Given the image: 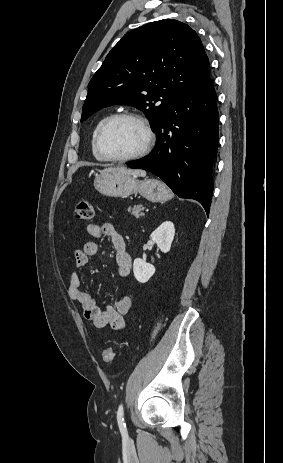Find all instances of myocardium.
I'll use <instances>...</instances> for the list:
<instances>
[{
	"mask_svg": "<svg viewBox=\"0 0 283 463\" xmlns=\"http://www.w3.org/2000/svg\"><path fill=\"white\" fill-rule=\"evenodd\" d=\"M122 119H131L135 120L138 122L144 133H145V143L143 147L136 153L125 156V157H113L105 154L103 151L102 145H101V139L104 131L114 122ZM155 143V134L153 132V129L150 125V122L146 117L141 115L140 113L133 112V111H126V112H120L113 114L109 116L98 128L96 135H95V148L99 156L102 158V160L108 161V162H114V163H126L134 160H138L140 158H143L146 156L151 149L153 148Z\"/></svg>",
	"mask_w": 283,
	"mask_h": 463,
	"instance_id": "myocardium-1",
	"label": "myocardium"
}]
</instances>
